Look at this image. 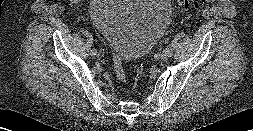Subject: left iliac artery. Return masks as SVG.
Wrapping results in <instances>:
<instances>
[{
	"instance_id": "1",
	"label": "left iliac artery",
	"mask_w": 253,
	"mask_h": 131,
	"mask_svg": "<svg viewBox=\"0 0 253 131\" xmlns=\"http://www.w3.org/2000/svg\"><path fill=\"white\" fill-rule=\"evenodd\" d=\"M165 51H166L167 53H170V52L172 51V47H171L170 45H167V46L165 47Z\"/></svg>"
}]
</instances>
